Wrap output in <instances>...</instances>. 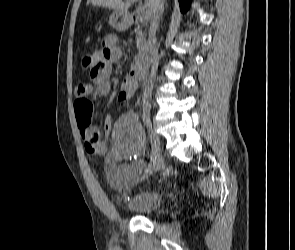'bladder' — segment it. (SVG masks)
Masks as SVG:
<instances>
[{
    "mask_svg": "<svg viewBox=\"0 0 295 250\" xmlns=\"http://www.w3.org/2000/svg\"><path fill=\"white\" fill-rule=\"evenodd\" d=\"M164 202L162 194L154 190L132 192L121 205L136 215H152L160 210Z\"/></svg>",
    "mask_w": 295,
    "mask_h": 250,
    "instance_id": "31cf9c89",
    "label": "bladder"
}]
</instances>
